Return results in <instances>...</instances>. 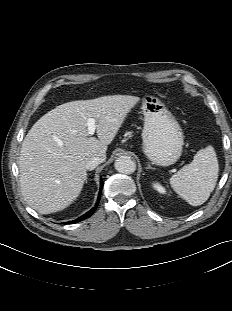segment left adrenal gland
Segmentation results:
<instances>
[{
  "mask_svg": "<svg viewBox=\"0 0 232 311\" xmlns=\"http://www.w3.org/2000/svg\"><path fill=\"white\" fill-rule=\"evenodd\" d=\"M146 169H154V168L151 167L150 165H148V166L146 167Z\"/></svg>",
  "mask_w": 232,
  "mask_h": 311,
  "instance_id": "obj_1",
  "label": "left adrenal gland"
}]
</instances>
